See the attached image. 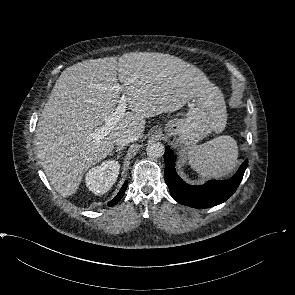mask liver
Returning <instances> with one entry per match:
<instances>
[{"mask_svg":"<svg viewBox=\"0 0 295 295\" xmlns=\"http://www.w3.org/2000/svg\"><path fill=\"white\" fill-rule=\"evenodd\" d=\"M209 84L200 69L163 53L130 52L66 68L36 130L37 154L51 185L61 196H71L86 171L112 151L118 136L127 132L142 136L146 118L181 109ZM119 94L131 112L96 141L89 134L115 112Z\"/></svg>","mask_w":295,"mask_h":295,"instance_id":"1","label":"liver"}]
</instances>
